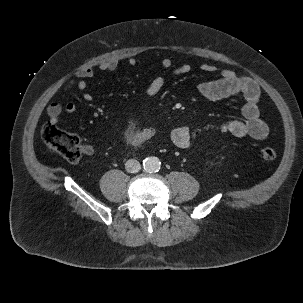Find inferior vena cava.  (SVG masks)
I'll list each match as a JSON object with an SVG mask.
<instances>
[{"label":"inferior vena cava","mask_w":303,"mask_h":303,"mask_svg":"<svg viewBox=\"0 0 303 303\" xmlns=\"http://www.w3.org/2000/svg\"><path fill=\"white\" fill-rule=\"evenodd\" d=\"M125 169L129 173H137L141 169V165L137 160L129 159L125 164Z\"/></svg>","instance_id":"602c4592"}]
</instances>
